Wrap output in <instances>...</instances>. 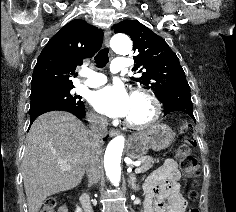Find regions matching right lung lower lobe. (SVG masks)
I'll return each instance as SVG.
<instances>
[{"label":"right lung lower lobe","mask_w":236,"mask_h":212,"mask_svg":"<svg viewBox=\"0 0 236 212\" xmlns=\"http://www.w3.org/2000/svg\"><path fill=\"white\" fill-rule=\"evenodd\" d=\"M68 111L75 116H77L79 119H82L85 117V110L84 106H73V105H66L51 101H44V100H36L31 101L30 106V124L33 123V121L40 116L43 113L49 112V111ZM106 140V138L104 139Z\"/></svg>","instance_id":"right-lung-lower-lobe-1"}]
</instances>
